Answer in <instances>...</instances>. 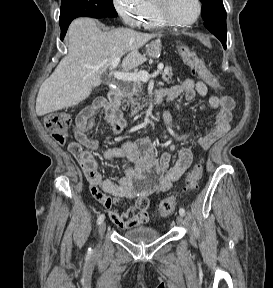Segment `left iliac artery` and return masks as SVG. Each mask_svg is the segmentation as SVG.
<instances>
[{
	"mask_svg": "<svg viewBox=\"0 0 273 288\" xmlns=\"http://www.w3.org/2000/svg\"><path fill=\"white\" fill-rule=\"evenodd\" d=\"M179 213H180V215L184 216L185 215V210L183 208H180L179 209Z\"/></svg>",
	"mask_w": 273,
	"mask_h": 288,
	"instance_id": "left-iliac-artery-1",
	"label": "left iliac artery"
}]
</instances>
